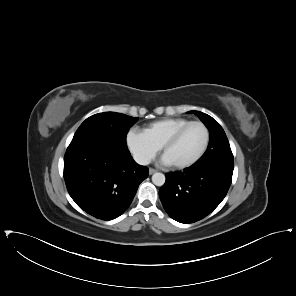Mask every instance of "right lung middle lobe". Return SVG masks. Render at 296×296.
<instances>
[{
    "label": "right lung middle lobe",
    "mask_w": 296,
    "mask_h": 296,
    "mask_svg": "<svg viewBox=\"0 0 296 296\" xmlns=\"http://www.w3.org/2000/svg\"><path fill=\"white\" fill-rule=\"evenodd\" d=\"M137 121V117H130L121 113H98L87 118L80 125L72 142L101 140L120 147H127L126 134Z\"/></svg>",
    "instance_id": "right-lung-middle-lobe-1"
}]
</instances>
